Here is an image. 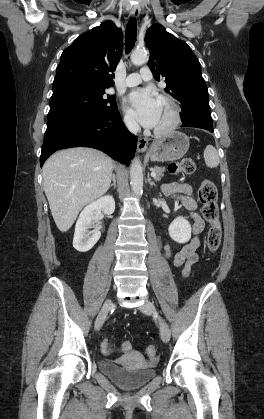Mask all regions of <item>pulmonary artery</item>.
Masks as SVG:
<instances>
[{"label": "pulmonary artery", "instance_id": "pulmonary-artery-1", "mask_svg": "<svg viewBox=\"0 0 264 419\" xmlns=\"http://www.w3.org/2000/svg\"><path fill=\"white\" fill-rule=\"evenodd\" d=\"M151 79V71L147 67H143L139 73H132L127 76L125 84L128 87H134L140 84L142 81H148Z\"/></svg>", "mask_w": 264, "mask_h": 419}]
</instances>
